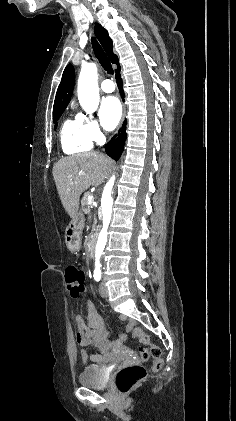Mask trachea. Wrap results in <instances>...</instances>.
I'll return each instance as SVG.
<instances>
[{
	"instance_id": "1",
	"label": "trachea",
	"mask_w": 236,
	"mask_h": 421,
	"mask_svg": "<svg viewBox=\"0 0 236 421\" xmlns=\"http://www.w3.org/2000/svg\"><path fill=\"white\" fill-rule=\"evenodd\" d=\"M91 42H92V48H93L95 57L98 58V61L102 65V68L107 73L113 75L114 71L111 66V62L108 56L106 55L105 51L103 50L101 45L97 42V40L94 37L91 38Z\"/></svg>"
}]
</instances>
